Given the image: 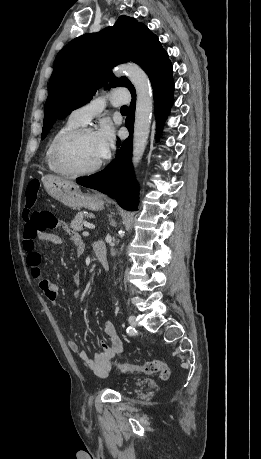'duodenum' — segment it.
<instances>
[{"label":"duodenum","instance_id":"duodenum-1","mask_svg":"<svg viewBox=\"0 0 261 459\" xmlns=\"http://www.w3.org/2000/svg\"><path fill=\"white\" fill-rule=\"evenodd\" d=\"M93 250L97 261L101 264V266L105 269L108 268V259H107V251L103 243L96 242L93 245Z\"/></svg>","mask_w":261,"mask_h":459}]
</instances>
